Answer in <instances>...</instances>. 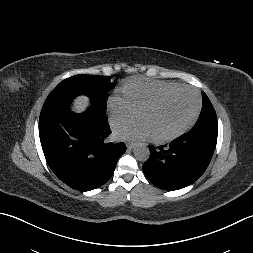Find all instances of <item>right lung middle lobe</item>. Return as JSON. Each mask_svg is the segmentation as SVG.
Instances as JSON below:
<instances>
[{"label": "right lung middle lobe", "mask_w": 253, "mask_h": 253, "mask_svg": "<svg viewBox=\"0 0 253 253\" xmlns=\"http://www.w3.org/2000/svg\"><path fill=\"white\" fill-rule=\"evenodd\" d=\"M112 76H95L79 74L60 82L49 94L44 104L55 101H69L77 95L90 97L92 106L102 112L106 110L108 92L114 88Z\"/></svg>", "instance_id": "obj_1"}]
</instances>
